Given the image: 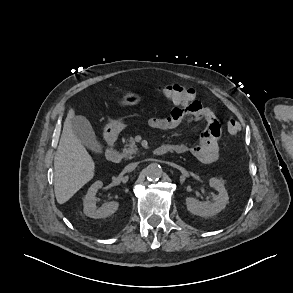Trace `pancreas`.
<instances>
[{"label": "pancreas", "mask_w": 293, "mask_h": 293, "mask_svg": "<svg viewBox=\"0 0 293 293\" xmlns=\"http://www.w3.org/2000/svg\"><path fill=\"white\" fill-rule=\"evenodd\" d=\"M137 151H138V148L135 144V140L132 137H130L127 140V144L125 145V148L123 149L122 157L126 159H131L133 158V155L137 153Z\"/></svg>", "instance_id": "cf45deb5"}]
</instances>
